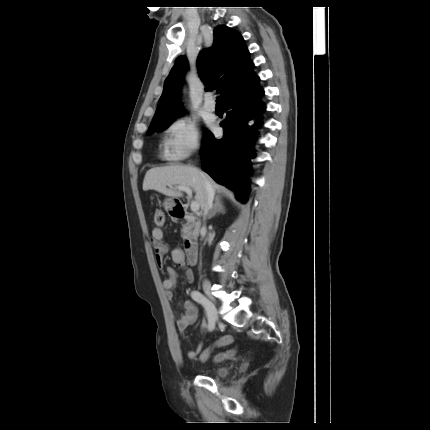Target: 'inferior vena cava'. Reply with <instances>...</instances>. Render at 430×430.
<instances>
[{"instance_id": "1", "label": "inferior vena cava", "mask_w": 430, "mask_h": 430, "mask_svg": "<svg viewBox=\"0 0 430 430\" xmlns=\"http://www.w3.org/2000/svg\"><path fill=\"white\" fill-rule=\"evenodd\" d=\"M213 200H214V188L211 182L207 178H204V198H203V204H202V209L204 211V216H203L204 220L208 211L213 206ZM203 229H205V226L203 227Z\"/></svg>"}]
</instances>
